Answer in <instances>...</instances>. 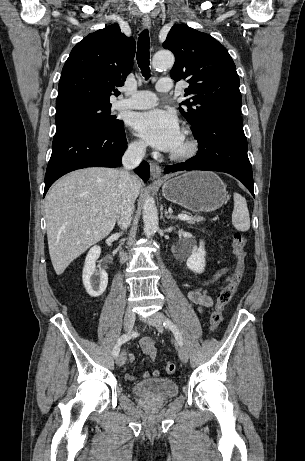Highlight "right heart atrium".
<instances>
[{
  "label": "right heart atrium",
  "instance_id": "1",
  "mask_svg": "<svg viewBox=\"0 0 305 461\" xmlns=\"http://www.w3.org/2000/svg\"><path fill=\"white\" fill-rule=\"evenodd\" d=\"M130 150L136 154H140L144 150V144L141 141L134 140L130 143Z\"/></svg>",
  "mask_w": 305,
  "mask_h": 461
}]
</instances>
